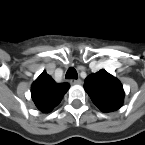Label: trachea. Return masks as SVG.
<instances>
[{"label": "trachea", "mask_w": 145, "mask_h": 145, "mask_svg": "<svg viewBox=\"0 0 145 145\" xmlns=\"http://www.w3.org/2000/svg\"><path fill=\"white\" fill-rule=\"evenodd\" d=\"M66 78H68V79H77L78 78V74H77V71L75 70V68L71 67L67 70Z\"/></svg>", "instance_id": "3493384b"}]
</instances>
